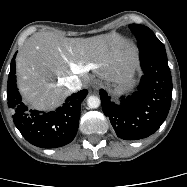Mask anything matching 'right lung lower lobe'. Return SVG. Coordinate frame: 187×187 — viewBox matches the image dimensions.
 <instances>
[{
  "label": "right lung lower lobe",
  "instance_id": "obj_1",
  "mask_svg": "<svg viewBox=\"0 0 187 187\" xmlns=\"http://www.w3.org/2000/svg\"><path fill=\"white\" fill-rule=\"evenodd\" d=\"M15 57L16 54L11 61L7 100L16 127L28 142L41 148H56L70 143L77 133L81 102L88 91L85 89L69 96L55 111L31 110L18 92Z\"/></svg>",
  "mask_w": 187,
  "mask_h": 187
}]
</instances>
